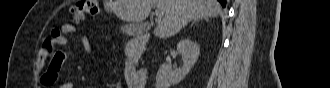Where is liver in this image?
Masks as SVG:
<instances>
[{
	"label": "liver",
	"instance_id": "1",
	"mask_svg": "<svg viewBox=\"0 0 330 88\" xmlns=\"http://www.w3.org/2000/svg\"><path fill=\"white\" fill-rule=\"evenodd\" d=\"M155 7L164 12L163 20L153 33L160 38L177 34L190 21L203 17H217L221 6L216 0H110L104 2L107 12L135 26L146 19Z\"/></svg>",
	"mask_w": 330,
	"mask_h": 88
}]
</instances>
